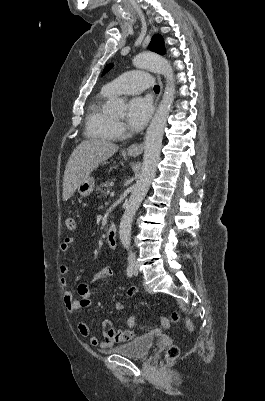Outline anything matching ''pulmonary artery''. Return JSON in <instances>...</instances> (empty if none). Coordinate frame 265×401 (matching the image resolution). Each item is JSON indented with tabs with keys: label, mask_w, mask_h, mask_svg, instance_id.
Listing matches in <instances>:
<instances>
[{
	"label": "pulmonary artery",
	"mask_w": 265,
	"mask_h": 401,
	"mask_svg": "<svg viewBox=\"0 0 265 401\" xmlns=\"http://www.w3.org/2000/svg\"><path fill=\"white\" fill-rule=\"evenodd\" d=\"M152 78L146 72H125L124 75H118L117 81L105 86L106 90L116 95H141L142 90H149L152 87Z\"/></svg>",
	"instance_id": "1"
}]
</instances>
